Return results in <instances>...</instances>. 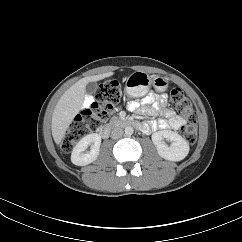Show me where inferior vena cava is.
<instances>
[{"label": "inferior vena cava", "mask_w": 242, "mask_h": 242, "mask_svg": "<svg viewBox=\"0 0 242 242\" xmlns=\"http://www.w3.org/2000/svg\"><path fill=\"white\" fill-rule=\"evenodd\" d=\"M123 135V130L121 128H113L111 131V138L112 139H119Z\"/></svg>", "instance_id": "602c4592"}]
</instances>
